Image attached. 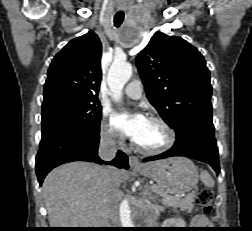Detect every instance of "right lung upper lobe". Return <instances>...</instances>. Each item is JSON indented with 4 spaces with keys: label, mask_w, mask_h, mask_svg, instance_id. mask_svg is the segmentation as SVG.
<instances>
[{
    "label": "right lung upper lobe",
    "mask_w": 252,
    "mask_h": 231,
    "mask_svg": "<svg viewBox=\"0 0 252 231\" xmlns=\"http://www.w3.org/2000/svg\"><path fill=\"white\" fill-rule=\"evenodd\" d=\"M101 53V42L93 31L71 40L50 64L44 99L60 94L98 99Z\"/></svg>",
    "instance_id": "obj_1"
}]
</instances>
